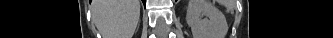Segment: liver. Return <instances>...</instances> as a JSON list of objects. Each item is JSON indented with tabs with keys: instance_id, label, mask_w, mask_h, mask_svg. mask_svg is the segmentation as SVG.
Listing matches in <instances>:
<instances>
[{
	"instance_id": "1",
	"label": "liver",
	"mask_w": 333,
	"mask_h": 38,
	"mask_svg": "<svg viewBox=\"0 0 333 38\" xmlns=\"http://www.w3.org/2000/svg\"><path fill=\"white\" fill-rule=\"evenodd\" d=\"M91 11L103 38H132L140 16V1L93 0Z\"/></svg>"
}]
</instances>
